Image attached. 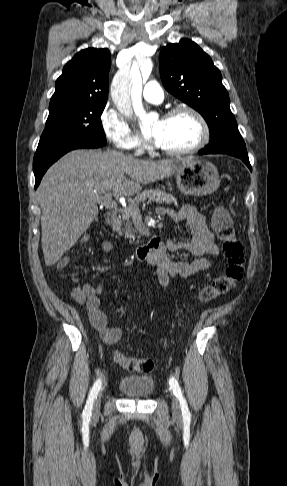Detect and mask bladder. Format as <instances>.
Segmentation results:
<instances>
[{"instance_id":"obj_1","label":"bladder","mask_w":287,"mask_h":486,"mask_svg":"<svg viewBox=\"0 0 287 486\" xmlns=\"http://www.w3.org/2000/svg\"><path fill=\"white\" fill-rule=\"evenodd\" d=\"M119 390L134 399L149 397L154 391V380L148 375H125L118 383Z\"/></svg>"}]
</instances>
